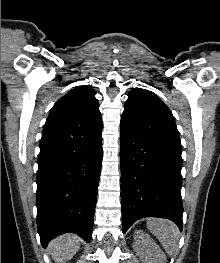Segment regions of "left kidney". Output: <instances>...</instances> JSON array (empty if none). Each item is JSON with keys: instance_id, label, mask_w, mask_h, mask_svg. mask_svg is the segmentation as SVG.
<instances>
[{"instance_id": "obj_1", "label": "left kidney", "mask_w": 220, "mask_h": 263, "mask_svg": "<svg viewBox=\"0 0 220 263\" xmlns=\"http://www.w3.org/2000/svg\"><path fill=\"white\" fill-rule=\"evenodd\" d=\"M134 250L142 259L143 263H165L166 257L156 242L149 234L142 230L134 232Z\"/></svg>"}]
</instances>
